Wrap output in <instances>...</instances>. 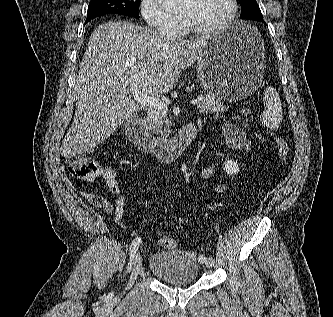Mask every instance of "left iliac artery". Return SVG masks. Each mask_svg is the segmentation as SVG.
<instances>
[{
	"instance_id": "44dca946",
	"label": "left iliac artery",
	"mask_w": 333,
	"mask_h": 317,
	"mask_svg": "<svg viewBox=\"0 0 333 317\" xmlns=\"http://www.w3.org/2000/svg\"><path fill=\"white\" fill-rule=\"evenodd\" d=\"M206 260H207V258L204 255L199 256V261L205 262Z\"/></svg>"
}]
</instances>
